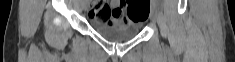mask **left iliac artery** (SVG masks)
I'll use <instances>...</instances> for the list:
<instances>
[{
  "label": "left iliac artery",
  "mask_w": 235,
  "mask_h": 62,
  "mask_svg": "<svg viewBox=\"0 0 235 62\" xmlns=\"http://www.w3.org/2000/svg\"><path fill=\"white\" fill-rule=\"evenodd\" d=\"M153 5L157 6V2H153Z\"/></svg>",
  "instance_id": "44dca946"
}]
</instances>
